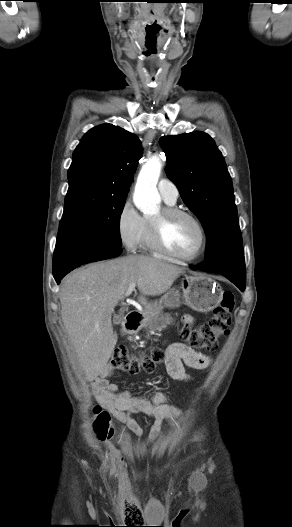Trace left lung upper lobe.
Wrapping results in <instances>:
<instances>
[{"mask_svg":"<svg viewBox=\"0 0 292 527\" xmlns=\"http://www.w3.org/2000/svg\"><path fill=\"white\" fill-rule=\"evenodd\" d=\"M160 144L169 179L205 229L206 260L243 255L232 180L213 139L204 132H191L163 136Z\"/></svg>","mask_w":292,"mask_h":527,"instance_id":"5c2ea615","label":"left lung upper lobe"}]
</instances>
